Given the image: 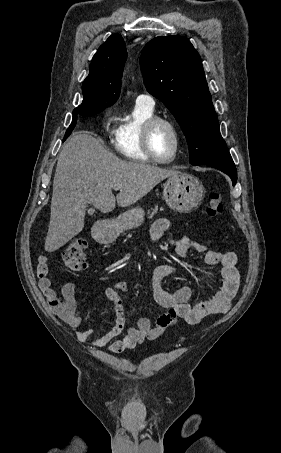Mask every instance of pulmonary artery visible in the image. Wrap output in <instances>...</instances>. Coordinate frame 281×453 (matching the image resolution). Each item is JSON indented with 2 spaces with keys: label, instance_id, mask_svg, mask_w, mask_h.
Wrapping results in <instances>:
<instances>
[{
  "label": "pulmonary artery",
  "instance_id": "e3ab8cb5",
  "mask_svg": "<svg viewBox=\"0 0 281 453\" xmlns=\"http://www.w3.org/2000/svg\"><path fill=\"white\" fill-rule=\"evenodd\" d=\"M137 99L140 101H149L152 104L151 98L148 95H139Z\"/></svg>",
  "mask_w": 281,
  "mask_h": 453
}]
</instances>
